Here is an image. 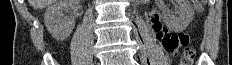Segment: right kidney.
Here are the masks:
<instances>
[{"instance_id": "ca27d5eb", "label": "right kidney", "mask_w": 232, "mask_h": 65, "mask_svg": "<svg viewBox=\"0 0 232 65\" xmlns=\"http://www.w3.org/2000/svg\"><path fill=\"white\" fill-rule=\"evenodd\" d=\"M78 0H55L44 14L45 25L56 40H65L72 33L75 22L72 14L77 11ZM70 11V16L64 12Z\"/></svg>"}]
</instances>
